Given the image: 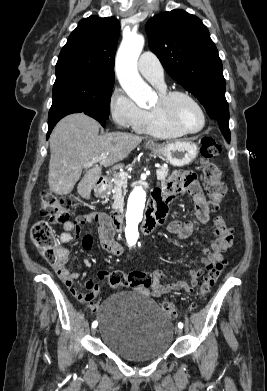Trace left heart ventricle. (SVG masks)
<instances>
[{"instance_id":"left-heart-ventricle-1","label":"left heart ventricle","mask_w":267,"mask_h":391,"mask_svg":"<svg viewBox=\"0 0 267 391\" xmlns=\"http://www.w3.org/2000/svg\"><path fill=\"white\" fill-rule=\"evenodd\" d=\"M170 110L173 118L183 128L187 130H197L200 128L202 124L201 114L199 110L188 100L184 98L174 99L171 103Z\"/></svg>"}]
</instances>
